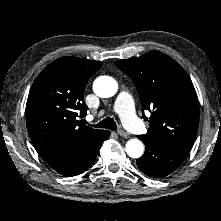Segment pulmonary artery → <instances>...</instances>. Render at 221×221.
Here are the masks:
<instances>
[{
    "mask_svg": "<svg viewBox=\"0 0 221 221\" xmlns=\"http://www.w3.org/2000/svg\"><path fill=\"white\" fill-rule=\"evenodd\" d=\"M114 111L120 116L126 128L134 133H142L144 126L135 114L132 96L122 91L116 98Z\"/></svg>",
    "mask_w": 221,
    "mask_h": 221,
    "instance_id": "e3ab8cb5",
    "label": "pulmonary artery"
}]
</instances>
